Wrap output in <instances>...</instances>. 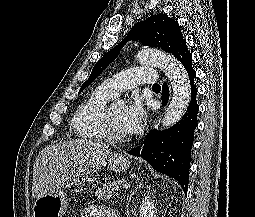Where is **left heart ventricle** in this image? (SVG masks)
I'll list each match as a JSON object with an SVG mask.
<instances>
[{
	"label": "left heart ventricle",
	"instance_id": "obj_1",
	"mask_svg": "<svg viewBox=\"0 0 255 217\" xmlns=\"http://www.w3.org/2000/svg\"><path fill=\"white\" fill-rule=\"evenodd\" d=\"M124 106H112L110 109V115H111V121L113 128L116 133L120 135H127L125 129H124V124H123V115H124Z\"/></svg>",
	"mask_w": 255,
	"mask_h": 217
}]
</instances>
